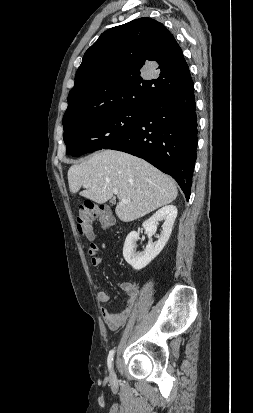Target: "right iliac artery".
Masks as SVG:
<instances>
[{"label":"right iliac artery","instance_id":"right-iliac-artery-1","mask_svg":"<svg viewBox=\"0 0 253 413\" xmlns=\"http://www.w3.org/2000/svg\"><path fill=\"white\" fill-rule=\"evenodd\" d=\"M114 353H115V350H111L108 355L107 365H108L109 370L112 369Z\"/></svg>","mask_w":253,"mask_h":413}]
</instances>
